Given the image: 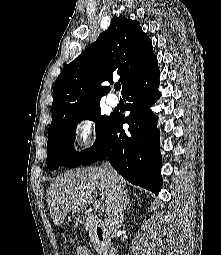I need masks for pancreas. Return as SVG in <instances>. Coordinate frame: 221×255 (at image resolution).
<instances>
[{
    "instance_id": "pancreas-1",
    "label": "pancreas",
    "mask_w": 221,
    "mask_h": 255,
    "mask_svg": "<svg viewBox=\"0 0 221 255\" xmlns=\"http://www.w3.org/2000/svg\"><path fill=\"white\" fill-rule=\"evenodd\" d=\"M101 224V221L96 217L89 218L88 222L86 223V228L90 233V239L94 243L95 248H97L98 251H103L102 246L98 242L95 232L99 225Z\"/></svg>"
}]
</instances>
